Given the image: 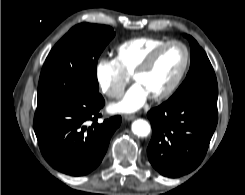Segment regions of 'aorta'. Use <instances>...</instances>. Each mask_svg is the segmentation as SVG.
<instances>
[{
	"label": "aorta",
	"instance_id": "1",
	"mask_svg": "<svg viewBox=\"0 0 245 195\" xmlns=\"http://www.w3.org/2000/svg\"><path fill=\"white\" fill-rule=\"evenodd\" d=\"M132 132L139 137H146L151 131V127L146 120L137 119L132 123Z\"/></svg>",
	"mask_w": 245,
	"mask_h": 195
}]
</instances>
